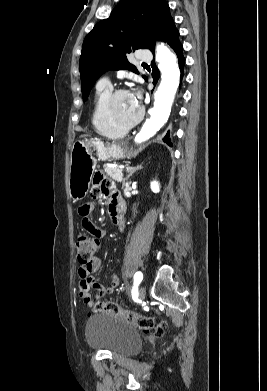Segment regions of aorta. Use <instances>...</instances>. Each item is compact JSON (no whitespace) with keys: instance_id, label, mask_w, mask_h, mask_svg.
Returning <instances> with one entry per match:
<instances>
[{"instance_id":"obj_1","label":"aorta","mask_w":267,"mask_h":391,"mask_svg":"<svg viewBox=\"0 0 267 391\" xmlns=\"http://www.w3.org/2000/svg\"><path fill=\"white\" fill-rule=\"evenodd\" d=\"M161 82L154 95V106L149 110V118L135 137L136 143H142L153 137L167 122L180 82V70L176 55L164 43L156 47Z\"/></svg>"}]
</instances>
